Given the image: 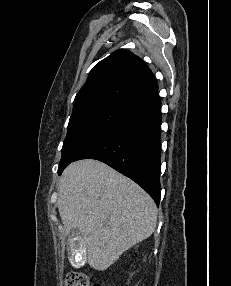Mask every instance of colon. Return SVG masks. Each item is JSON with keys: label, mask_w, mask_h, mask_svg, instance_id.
I'll list each match as a JSON object with an SVG mask.
<instances>
[{"label": "colon", "mask_w": 231, "mask_h": 286, "mask_svg": "<svg viewBox=\"0 0 231 286\" xmlns=\"http://www.w3.org/2000/svg\"><path fill=\"white\" fill-rule=\"evenodd\" d=\"M65 286H103L93 282L88 275L81 271H73L66 275L64 279Z\"/></svg>", "instance_id": "colon-1"}]
</instances>
